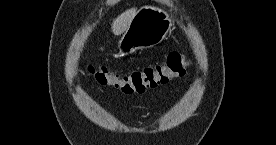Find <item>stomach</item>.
<instances>
[{
	"instance_id": "stomach-1",
	"label": "stomach",
	"mask_w": 276,
	"mask_h": 145,
	"mask_svg": "<svg viewBox=\"0 0 276 145\" xmlns=\"http://www.w3.org/2000/svg\"><path fill=\"white\" fill-rule=\"evenodd\" d=\"M171 27L172 20L165 10L155 6L141 7L118 42L120 54L125 55L161 43Z\"/></svg>"
}]
</instances>
